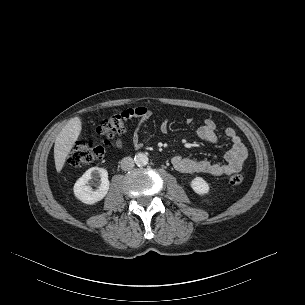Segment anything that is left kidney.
Wrapping results in <instances>:
<instances>
[{
    "label": "left kidney",
    "instance_id": "1",
    "mask_svg": "<svg viewBox=\"0 0 305 305\" xmlns=\"http://www.w3.org/2000/svg\"><path fill=\"white\" fill-rule=\"evenodd\" d=\"M190 185L193 191L200 195L207 194L210 189L208 183L202 177L194 178Z\"/></svg>",
    "mask_w": 305,
    "mask_h": 305
}]
</instances>
